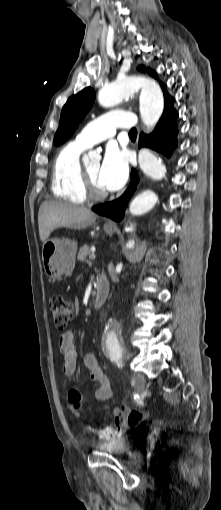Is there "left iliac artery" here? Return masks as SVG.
<instances>
[{
	"instance_id": "obj_1",
	"label": "left iliac artery",
	"mask_w": 221,
	"mask_h": 510,
	"mask_svg": "<svg viewBox=\"0 0 221 510\" xmlns=\"http://www.w3.org/2000/svg\"><path fill=\"white\" fill-rule=\"evenodd\" d=\"M122 348L119 344H114L109 351V355L112 361H114L118 367H122Z\"/></svg>"
}]
</instances>
